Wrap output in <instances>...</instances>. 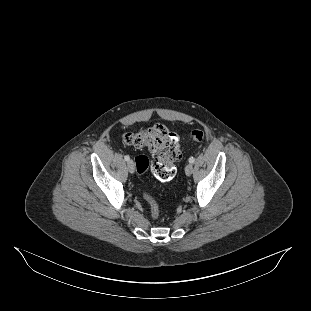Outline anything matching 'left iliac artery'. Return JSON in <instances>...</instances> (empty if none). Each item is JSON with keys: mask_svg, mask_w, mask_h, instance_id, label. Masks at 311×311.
Returning a JSON list of instances; mask_svg holds the SVG:
<instances>
[{"mask_svg": "<svg viewBox=\"0 0 311 311\" xmlns=\"http://www.w3.org/2000/svg\"><path fill=\"white\" fill-rule=\"evenodd\" d=\"M194 161H195L194 157H190V158H189V162H190V163H194Z\"/></svg>", "mask_w": 311, "mask_h": 311, "instance_id": "1", "label": "left iliac artery"}]
</instances>
